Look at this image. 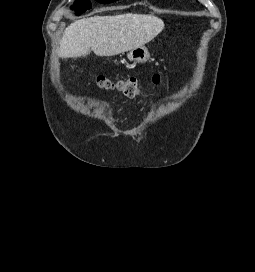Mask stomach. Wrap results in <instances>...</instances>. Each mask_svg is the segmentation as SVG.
<instances>
[{"label": "stomach", "instance_id": "0dacf381", "mask_svg": "<svg viewBox=\"0 0 255 272\" xmlns=\"http://www.w3.org/2000/svg\"><path fill=\"white\" fill-rule=\"evenodd\" d=\"M150 57L148 49L144 46L130 50L127 54L129 61L133 63H145Z\"/></svg>", "mask_w": 255, "mask_h": 272}]
</instances>
